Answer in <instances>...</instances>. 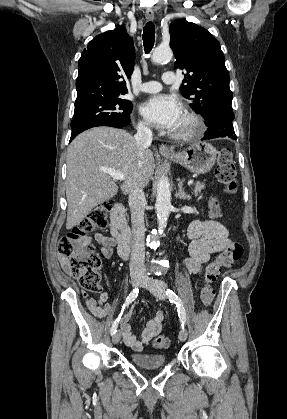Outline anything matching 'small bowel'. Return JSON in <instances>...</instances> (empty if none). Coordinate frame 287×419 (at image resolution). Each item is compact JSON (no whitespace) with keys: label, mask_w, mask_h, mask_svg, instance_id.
Returning <instances> with one entry per match:
<instances>
[{"label":"small bowel","mask_w":287,"mask_h":419,"mask_svg":"<svg viewBox=\"0 0 287 419\" xmlns=\"http://www.w3.org/2000/svg\"><path fill=\"white\" fill-rule=\"evenodd\" d=\"M189 237L191 239L188 247L189 257L185 259L184 267L188 272L193 274H200L203 271L204 264L209 260L210 255L224 250L230 244L228 230L219 222L196 221L190 226ZM94 239L100 244L102 255L105 258L112 257L116 246L115 239L100 233L96 234ZM60 263L63 270L68 273L70 271L69 261L61 258ZM83 296L88 309L94 316L105 318L113 313V306L108 303V291H102L98 299L89 297L86 293ZM130 317L131 312L122 316L121 331L126 345L133 351L140 352L161 332L164 316L162 312H157L147 322L141 339L136 338L132 333L129 324Z\"/></svg>","instance_id":"obj_1"}]
</instances>
